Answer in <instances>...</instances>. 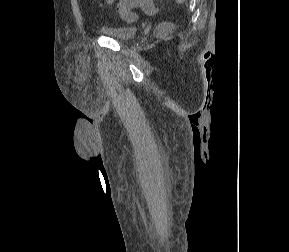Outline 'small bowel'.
Instances as JSON below:
<instances>
[{
  "instance_id": "obj_1",
  "label": "small bowel",
  "mask_w": 289,
  "mask_h": 252,
  "mask_svg": "<svg viewBox=\"0 0 289 252\" xmlns=\"http://www.w3.org/2000/svg\"><path fill=\"white\" fill-rule=\"evenodd\" d=\"M95 1H102L107 6H111L115 2V0H95Z\"/></svg>"
}]
</instances>
